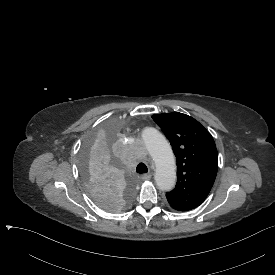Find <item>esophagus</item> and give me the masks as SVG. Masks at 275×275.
Wrapping results in <instances>:
<instances>
[{
    "label": "esophagus",
    "instance_id": "1",
    "mask_svg": "<svg viewBox=\"0 0 275 275\" xmlns=\"http://www.w3.org/2000/svg\"><path fill=\"white\" fill-rule=\"evenodd\" d=\"M141 179L144 181L150 180L151 179V174L147 173V174H143L141 175Z\"/></svg>",
    "mask_w": 275,
    "mask_h": 275
}]
</instances>
